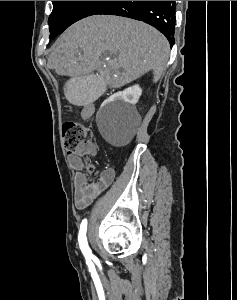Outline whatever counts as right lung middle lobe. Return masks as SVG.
Returning a JSON list of instances; mask_svg holds the SVG:
<instances>
[{
	"instance_id": "right-lung-middle-lobe-1",
	"label": "right lung middle lobe",
	"mask_w": 237,
	"mask_h": 300,
	"mask_svg": "<svg viewBox=\"0 0 237 300\" xmlns=\"http://www.w3.org/2000/svg\"><path fill=\"white\" fill-rule=\"evenodd\" d=\"M106 1H52L53 11L48 24L50 39H54L76 21L91 16Z\"/></svg>"
}]
</instances>
